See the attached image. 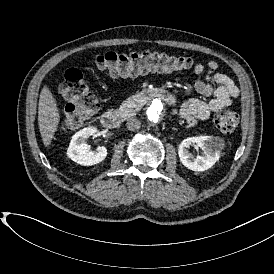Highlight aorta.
<instances>
[{
  "instance_id": "762f6f07",
  "label": "aorta",
  "mask_w": 274,
  "mask_h": 274,
  "mask_svg": "<svg viewBox=\"0 0 274 274\" xmlns=\"http://www.w3.org/2000/svg\"><path fill=\"white\" fill-rule=\"evenodd\" d=\"M167 118V111L164 103L154 99L147 109V119L152 125L163 124Z\"/></svg>"
}]
</instances>
